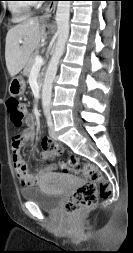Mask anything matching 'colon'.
<instances>
[{"label": "colon", "instance_id": "colon-1", "mask_svg": "<svg viewBox=\"0 0 133 253\" xmlns=\"http://www.w3.org/2000/svg\"><path fill=\"white\" fill-rule=\"evenodd\" d=\"M6 107L13 125L21 126L27 118L26 106L17 98L10 97L6 100ZM42 146L49 152V157L62 152V148L52 140V137H41ZM60 169L65 173L75 176L85 175L90 182L83 184L73 192L65 204L68 214H77L93 207L99 197H107L111 193L110 183L105 179L98 168L92 164L80 166L77 158L70 157L59 161Z\"/></svg>", "mask_w": 133, "mask_h": 253}]
</instances>
